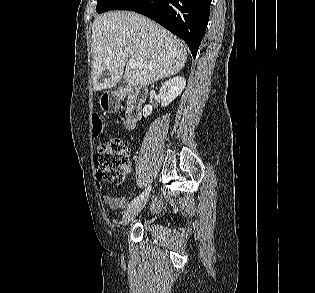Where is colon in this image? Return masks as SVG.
I'll return each instance as SVG.
<instances>
[{
	"instance_id": "5ec220e1",
	"label": "colon",
	"mask_w": 315,
	"mask_h": 293,
	"mask_svg": "<svg viewBox=\"0 0 315 293\" xmlns=\"http://www.w3.org/2000/svg\"><path fill=\"white\" fill-rule=\"evenodd\" d=\"M104 120L98 113L92 115V133L99 137L104 131ZM128 154L124 142L119 138L102 143L94 157L97 176L109 183L120 185L128 172Z\"/></svg>"
}]
</instances>
